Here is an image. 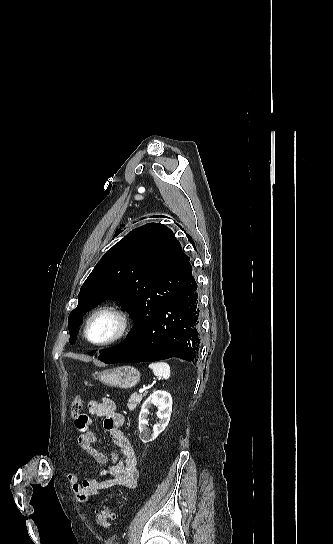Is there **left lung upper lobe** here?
<instances>
[{
	"mask_svg": "<svg viewBox=\"0 0 333 544\" xmlns=\"http://www.w3.org/2000/svg\"><path fill=\"white\" fill-rule=\"evenodd\" d=\"M189 261L165 225L132 230L106 252L81 287L78 306L68 318L70 343L83 314L106 298L123 300L135 326L153 318L186 284L192 274Z\"/></svg>",
	"mask_w": 333,
	"mask_h": 544,
	"instance_id": "1",
	"label": "left lung upper lobe"
}]
</instances>
